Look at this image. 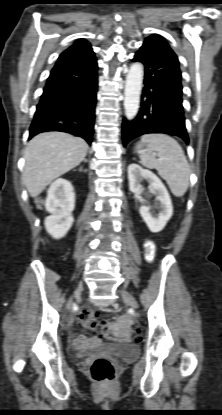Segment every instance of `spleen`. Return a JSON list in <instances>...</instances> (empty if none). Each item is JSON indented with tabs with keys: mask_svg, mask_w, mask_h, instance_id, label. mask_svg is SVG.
I'll use <instances>...</instances> for the list:
<instances>
[{
	"mask_svg": "<svg viewBox=\"0 0 222 415\" xmlns=\"http://www.w3.org/2000/svg\"><path fill=\"white\" fill-rule=\"evenodd\" d=\"M141 140L146 145L141 163L156 169L173 195L182 197L189 186L190 166L179 143L165 134H146Z\"/></svg>",
	"mask_w": 222,
	"mask_h": 415,
	"instance_id": "obj_1",
	"label": "spleen"
}]
</instances>
